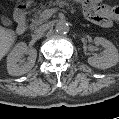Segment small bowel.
Listing matches in <instances>:
<instances>
[{"label":"small bowel","mask_w":119,"mask_h":119,"mask_svg":"<svg viewBox=\"0 0 119 119\" xmlns=\"http://www.w3.org/2000/svg\"><path fill=\"white\" fill-rule=\"evenodd\" d=\"M79 5L86 19L100 27L109 28L119 19L118 6L97 0H82Z\"/></svg>","instance_id":"obj_1"}]
</instances>
